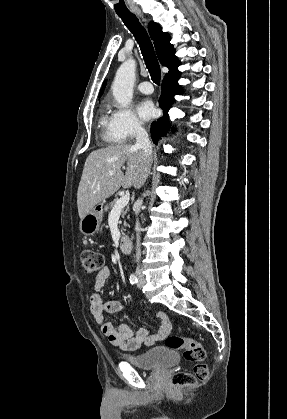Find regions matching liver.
Returning <instances> with one entry per match:
<instances>
[{
	"label": "liver",
	"mask_w": 287,
	"mask_h": 419,
	"mask_svg": "<svg viewBox=\"0 0 287 419\" xmlns=\"http://www.w3.org/2000/svg\"><path fill=\"white\" fill-rule=\"evenodd\" d=\"M126 162V173L122 167ZM151 157L141 148L130 144H117L92 151L87 157L77 192L80 219L96 205L105 202L121 186L139 189L145 182ZM109 171L113 174L109 175Z\"/></svg>",
	"instance_id": "obj_1"
}]
</instances>
